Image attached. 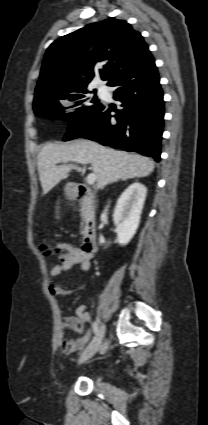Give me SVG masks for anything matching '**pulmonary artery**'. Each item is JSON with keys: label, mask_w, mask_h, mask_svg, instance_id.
Listing matches in <instances>:
<instances>
[{"label": "pulmonary artery", "mask_w": 208, "mask_h": 425, "mask_svg": "<svg viewBox=\"0 0 208 425\" xmlns=\"http://www.w3.org/2000/svg\"><path fill=\"white\" fill-rule=\"evenodd\" d=\"M98 91H99L100 93H104V92H105V87L100 86V87L98 88Z\"/></svg>", "instance_id": "1"}]
</instances>
